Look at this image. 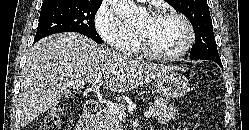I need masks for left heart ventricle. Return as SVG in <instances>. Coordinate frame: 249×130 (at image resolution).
Wrapping results in <instances>:
<instances>
[{
	"label": "left heart ventricle",
	"mask_w": 249,
	"mask_h": 130,
	"mask_svg": "<svg viewBox=\"0 0 249 130\" xmlns=\"http://www.w3.org/2000/svg\"><path fill=\"white\" fill-rule=\"evenodd\" d=\"M136 30L143 35L149 48L160 54L178 50L187 37L184 24L171 16L147 15L137 25Z\"/></svg>",
	"instance_id": "left-heart-ventricle-1"
}]
</instances>
